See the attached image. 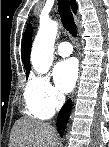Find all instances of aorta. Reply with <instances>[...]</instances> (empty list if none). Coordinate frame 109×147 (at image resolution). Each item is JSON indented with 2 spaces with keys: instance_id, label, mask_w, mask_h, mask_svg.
I'll return each instance as SVG.
<instances>
[{
  "instance_id": "1",
  "label": "aorta",
  "mask_w": 109,
  "mask_h": 147,
  "mask_svg": "<svg viewBox=\"0 0 109 147\" xmlns=\"http://www.w3.org/2000/svg\"><path fill=\"white\" fill-rule=\"evenodd\" d=\"M57 31V22L41 21L31 50V64L40 74L47 73L52 65Z\"/></svg>"
}]
</instances>
